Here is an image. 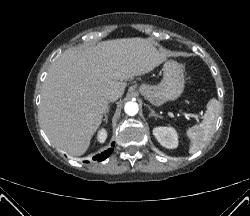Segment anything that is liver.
I'll use <instances>...</instances> for the list:
<instances>
[{
  "label": "liver",
  "mask_w": 250,
  "mask_h": 216,
  "mask_svg": "<svg viewBox=\"0 0 250 216\" xmlns=\"http://www.w3.org/2000/svg\"><path fill=\"white\" fill-rule=\"evenodd\" d=\"M166 58L144 38L65 50L48 71L39 106L50 142L71 156L83 155L108 107L105 93L118 89L123 94L124 80L151 72Z\"/></svg>",
  "instance_id": "1"
}]
</instances>
